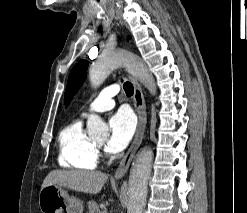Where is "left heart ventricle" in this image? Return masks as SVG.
Listing matches in <instances>:
<instances>
[{"mask_svg":"<svg viewBox=\"0 0 247 213\" xmlns=\"http://www.w3.org/2000/svg\"><path fill=\"white\" fill-rule=\"evenodd\" d=\"M103 143H104V140H101V141L97 142L98 145H103Z\"/></svg>","mask_w":247,"mask_h":213,"instance_id":"left-heart-ventricle-1","label":"left heart ventricle"}]
</instances>
